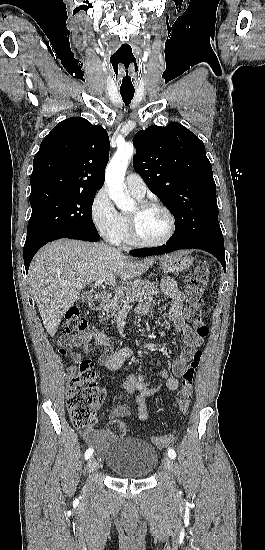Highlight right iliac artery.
Returning <instances> with one entry per match:
<instances>
[{
	"instance_id": "82829eb1",
	"label": "right iliac artery",
	"mask_w": 265,
	"mask_h": 550,
	"mask_svg": "<svg viewBox=\"0 0 265 550\" xmlns=\"http://www.w3.org/2000/svg\"><path fill=\"white\" fill-rule=\"evenodd\" d=\"M93 452H94L93 448H88L85 452V459H89L92 456Z\"/></svg>"
}]
</instances>
